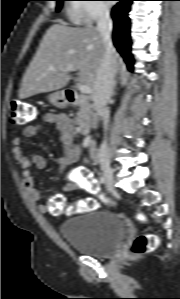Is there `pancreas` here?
<instances>
[{"label": "pancreas", "mask_w": 180, "mask_h": 299, "mask_svg": "<svg viewBox=\"0 0 180 299\" xmlns=\"http://www.w3.org/2000/svg\"><path fill=\"white\" fill-rule=\"evenodd\" d=\"M93 117L90 105H80L77 117L75 119L76 124L81 125L85 122H89Z\"/></svg>", "instance_id": "1"}]
</instances>
